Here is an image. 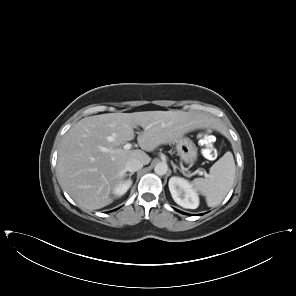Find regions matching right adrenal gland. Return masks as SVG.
Here are the masks:
<instances>
[{"mask_svg":"<svg viewBox=\"0 0 296 296\" xmlns=\"http://www.w3.org/2000/svg\"><path fill=\"white\" fill-rule=\"evenodd\" d=\"M135 172H131V173H129V174H125V176H128L129 177V179L131 178V176L134 174Z\"/></svg>","mask_w":296,"mask_h":296,"instance_id":"2a0ac1e0","label":"right adrenal gland"}]
</instances>
